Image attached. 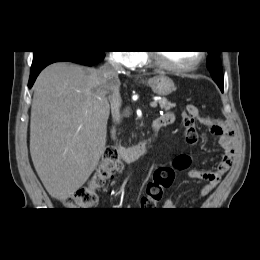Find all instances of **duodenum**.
Here are the masks:
<instances>
[{
    "label": "duodenum",
    "instance_id": "1",
    "mask_svg": "<svg viewBox=\"0 0 260 260\" xmlns=\"http://www.w3.org/2000/svg\"><path fill=\"white\" fill-rule=\"evenodd\" d=\"M152 127H153V131H154V134L152 137H150L146 140H142L139 143H137L133 146H129V147H123V146L115 144L113 146V149L116 151V153L120 156L121 159L128 161V162L136 160L139 157L148 154L158 131L160 130L161 127H163V123L158 118L153 121ZM112 137L114 138V130H112Z\"/></svg>",
    "mask_w": 260,
    "mask_h": 260
}]
</instances>
